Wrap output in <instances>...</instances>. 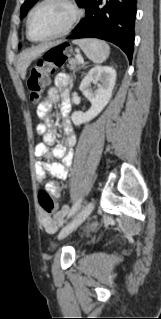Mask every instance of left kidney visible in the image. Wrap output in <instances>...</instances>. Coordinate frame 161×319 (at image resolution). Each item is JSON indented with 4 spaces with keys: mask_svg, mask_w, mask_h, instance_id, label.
<instances>
[{
    "mask_svg": "<svg viewBox=\"0 0 161 319\" xmlns=\"http://www.w3.org/2000/svg\"><path fill=\"white\" fill-rule=\"evenodd\" d=\"M116 81V71L110 66H96L89 70L80 84V91L91 102V108L72 114L74 125L79 126L95 118L108 104Z\"/></svg>",
    "mask_w": 161,
    "mask_h": 319,
    "instance_id": "5707ae66",
    "label": "left kidney"
}]
</instances>
